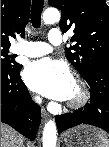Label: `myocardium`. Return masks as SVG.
I'll return each mask as SVG.
<instances>
[{"label":"myocardium","instance_id":"obj_1","mask_svg":"<svg viewBox=\"0 0 109 147\" xmlns=\"http://www.w3.org/2000/svg\"><path fill=\"white\" fill-rule=\"evenodd\" d=\"M73 80L79 87L80 93L77 99L68 100L67 106L70 109L78 110L83 108L89 102L91 97V91L88 83L83 77L75 75Z\"/></svg>","mask_w":109,"mask_h":147}]
</instances>
